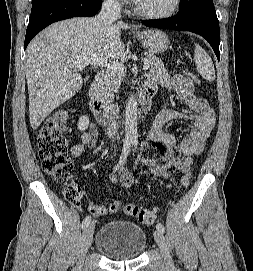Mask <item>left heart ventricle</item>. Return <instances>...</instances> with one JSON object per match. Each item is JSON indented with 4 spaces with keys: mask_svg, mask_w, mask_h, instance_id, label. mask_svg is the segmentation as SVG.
<instances>
[{
    "mask_svg": "<svg viewBox=\"0 0 253 271\" xmlns=\"http://www.w3.org/2000/svg\"><path fill=\"white\" fill-rule=\"evenodd\" d=\"M138 5L150 13H163L168 11L174 0H137Z\"/></svg>",
    "mask_w": 253,
    "mask_h": 271,
    "instance_id": "obj_1",
    "label": "left heart ventricle"
}]
</instances>
